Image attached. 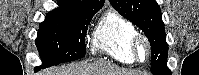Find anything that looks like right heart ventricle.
<instances>
[{"label": "right heart ventricle", "instance_id": "right-heart-ventricle-1", "mask_svg": "<svg viewBox=\"0 0 199 75\" xmlns=\"http://www.w3.org/2000/svg\"><path fill=\"white\" fill-rule=\"evenodd\" d=\"M135 33V28L128 19L118 13L109 12L95 29L93 50L104 52L121 63H133L131 39Z\"/></svg>", "mask_w": 199, "mask_h": 75}]
</instances>
